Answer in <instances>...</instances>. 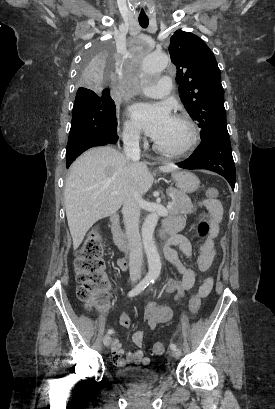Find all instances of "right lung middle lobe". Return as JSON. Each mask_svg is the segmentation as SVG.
<instances>
[{"instance_id": "right-lung-middle-lobe-1", "label": "right lung middle lobe", "mask_w": 275, "mask_h": 409, "mask_svg": "<svg viewBox=\"0 0 275 409\" xmlns=\"http://www.w3.org/2000/svg\"><path fill=\"white\" fill-rule=\"evenodd\" d=\"M113 42H93L92 50L85 51L77 77L78 90H103L104 85H114L115 65L119 50H113ZM120 96H101L93 92H77L72 112L65 173L72 171L71 163L91 147L116 143V106Z\"/></svg>"}]
</instances>
